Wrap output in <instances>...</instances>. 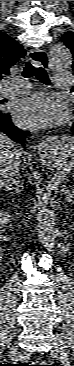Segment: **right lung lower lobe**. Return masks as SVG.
I'll return each mask as SVG.
<instances>
[{"label":"right lung lower lobe","mask_w":74,"mask_h":366,"mask_svg":"<svg viewBox=\"0 0 74 366\" xmlns=\"http://www.w3.org/2000/svg\"><path fill=\"white\" fill-rule=\"evenodd\" d=\"M6 134L9 138L21 143L24 146L26 137L29 135L28 131L18 129L11 121L9 114H0V133Z\"/></svg>","instance_id":"1"}]
</instances>
